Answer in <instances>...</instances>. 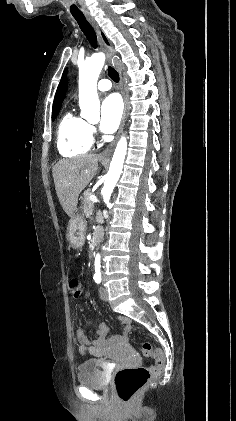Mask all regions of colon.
Returning <instances> with one entry per match:
<instances>
[{"instance_id": "obj_1", "label": "colon", "mask_w": 236, "mask_h": 421, "mask_svg": "<svg viewBox=\"0 0 236 421\" xmlns=\"http://www.w3.org/2000/svg\"><path fill=\"white\" fill-rule=\"evenodd\" d=\"M68 288L74 298L80 297L84 289L83 283L77 277L69 279ZM141 352L146 357L153 356L154 364L121 368L114 376L116 392L123 402L130 401L138 389L152 376L159 375L164 368L165 357L161 350H153L150 343H144Z\"/></svg>"}]
</instances>
